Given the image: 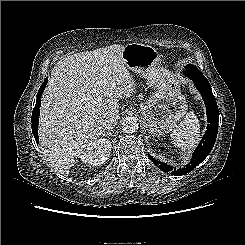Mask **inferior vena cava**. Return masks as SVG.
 <instances>
[{
	"label": "inferior vena cava",
	"mask_w": 245,
	"mask_h": 245,
	"mask_svg": "<svg viewBox=\"0 0 245 245\" xmlns=\"http://www.w3.org/2000/svg\"><path fill=\"white\" fill-rule=\"evenodd\" d=\"M117 124V119L112 116H107L102 120V127L105 130H112Z\"/></svg>",
	"instance_id": "inferior-vena-cava-1"
}]
</instances>
